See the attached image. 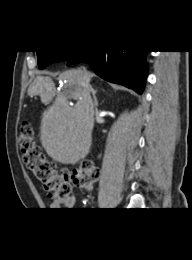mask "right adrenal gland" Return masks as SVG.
Masks as SVG:
<instances>
[{"label":"right adrenal gland","mask_w":192,"mask_h":260,"mask_svg":"<svg viewBox=\"0 0 192 260\" xmlns=\"http://www.w3.org/2000/svg\"><path fill=\"white\" fill-rule=\"evenodd\" d=\"M90 90H91L92 95H93L94 105H95V107H98V101H97V97H96V93H97L98 89H93V87L90 86Z\"/></svg>","instance_id":"2a0ac1e0"}]
</instances>
